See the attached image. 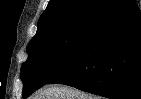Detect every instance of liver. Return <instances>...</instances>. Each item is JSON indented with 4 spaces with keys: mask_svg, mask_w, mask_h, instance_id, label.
<instances>
[{
    "mask_svg": "<svg viewBox=\"0 0 141 99\" xmlns=\"http://www.w3.org/2000/svg\"><path fill=\"white\" fill-rule=\"evenodd\" d=\"M32 99H101L75 88L63 85H53L37 91Z\"/></svg>",
    "mask_w": 141,
    "mask_h": 99,
    "instance_id": "6515ba94",
    "label": "liver"
}]
</instances>
